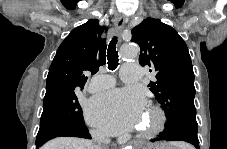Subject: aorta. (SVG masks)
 I'll return each instance as SVG.
<instances>
[{
	"label": "aorta",
	"mask_w": 227,
	"mask_h": 149,
	"mask_svg": "<svg viewBox=\"0 0 227 149\" xmlns=\"http://www.w3.org/2000/svg\"><path fill=\"white\" fill-rule=\"evenodd\" d=\"M138 48L130 45H126L122 48L121 56L125 59H133L138 55Z\"/></svg>",
	"instance_id": "aorta-1"
}]
</instances>
